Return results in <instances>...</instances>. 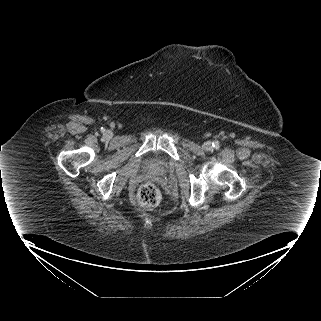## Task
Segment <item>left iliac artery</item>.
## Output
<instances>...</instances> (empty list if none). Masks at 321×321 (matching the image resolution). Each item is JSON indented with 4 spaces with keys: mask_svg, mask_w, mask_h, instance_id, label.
<instances>
[{
    "mask_svg": "<svg viewBox=\"0 0 321 321\" xmlns=\"http://www.w3.org/2000/svg\"><path fill=\"white\" fill-rule=\"evenodd\" d=\"M213 147L218 148L219 147V143L218 142H214L213 143Z\"/></svg>",
    "mask_w": 321,
    "mask_h": 321,
    "instance_id": "1",
    "label": "left iliac artery"
}]
</instances>
